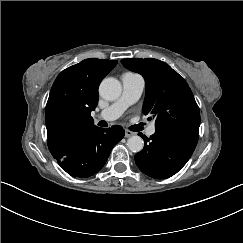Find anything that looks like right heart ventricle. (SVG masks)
I'll use <instances>...</instances> for the list:
<instances>
[{"label":"right heart ventricle","mask_w":243,"mask_h":243,"mask_svg":"<svg viewBox=\"0 0 243 243\" xmlns=\"http://www.w3.org/2000/svg\"><path fill=\"white\" fill-rule=\"evenodd\" d=\"M122 76H127L129 78H135V79H140L141 78V76L139 74L134 73V72H125V73L122 74Z\"/></svg>","instance_id":"e07e8e85"}]
</instances>
